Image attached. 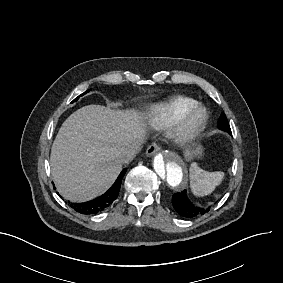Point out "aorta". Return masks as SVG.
Here are the masks:
<instances>
[{"label":"aorta","instance_id":"aorta-1","mask_svg":"<svg viewBox=\"0 0 283 283\" xmlns=\"http://www.w3.org/2000/svg\"><path fill=\"white\" fill-rule=\"evenodd\" d=\"M153 171L163 188L178 190L186 180L185 164L172 151H163L154 157Z\"/></svg>","mask_w":283,"mask_h":283}]
</instances>
